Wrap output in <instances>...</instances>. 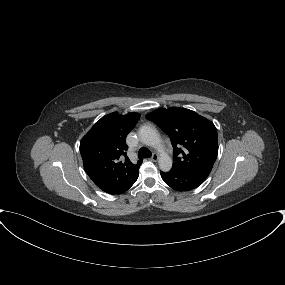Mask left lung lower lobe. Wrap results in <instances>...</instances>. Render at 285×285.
<instances>
[{
	"label": "left lung lower lobe",
	"instance_id": "obj_1",
	"mask_svg": "<svg viewBox=\"0 0 285 285\" xmlns=\"http://www.w3.org/2000/svg\"><path fill=\"white\" fill-rule=\"evenodd\" d=\"M209 173L210 171L206 170L172 168L169 172H161V177L171 188L177 191H189L201 185Z\"/></svg>",
	"mask_w": 285,
	"mask_h": 285
}]
</instances>
